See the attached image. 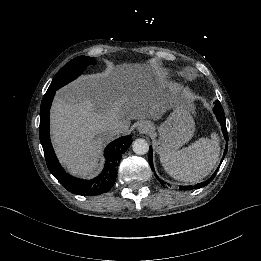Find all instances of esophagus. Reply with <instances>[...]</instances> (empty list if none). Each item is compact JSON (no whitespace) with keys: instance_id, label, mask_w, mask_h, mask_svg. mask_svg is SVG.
<instances>
[{"instance_id":"obj_1","label":"esophagus","mask_w":261,"mask_h":261,"mask_svg":"<svg viewBox=\"0 0 261 261\" xmlns=\"http://www.w3.org/2000/svg\"><path fill=\"white\" fill-rule=\"evenodd\" d=\"M151 128H152V123L150 121L140 122L137 126V130L141 134H145V133L149 132Z\"/></svg>"}]
</instances>
